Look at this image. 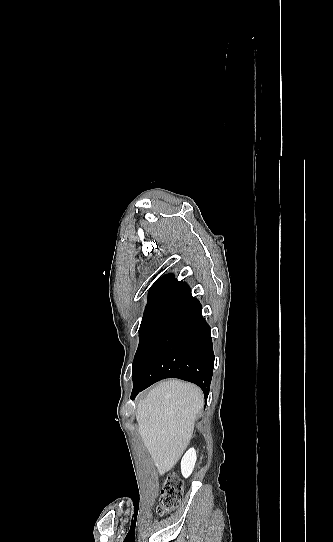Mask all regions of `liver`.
I'll return each mask as SVG.
<instances>
[{"mask_svg":"<svg viewBox=\"0 0 333 542\" xmlns=\"http://www.w3.org/2000/svg\"><path fill=\"white\" fill-rule=\"evenodd\" d=\"M203 394L194 384L179 380L160 382L145 400H139L136 420L139 434L159 476L172 470L194 432Z\"/></svg>","mask_w":333,"mask_h":542,"instance_id":"1","label":"liver"}]
</instances>
